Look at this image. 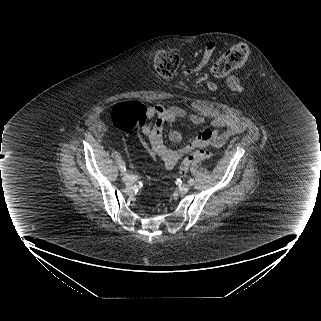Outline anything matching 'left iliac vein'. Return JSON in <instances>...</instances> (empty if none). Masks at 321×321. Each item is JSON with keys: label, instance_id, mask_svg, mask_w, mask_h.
<instances>
[{"label": "left iliac vein", "instance_id": "left-iliac-vein-1", "mask_svg": "<svg viewBox=\"0 0 321 321\" xmlns=\"http://www.w3.org/2000/svg\"><path fill=\"white\" fill-rule=\"evenodd\" d=\"M189 185L187 184H182L180 187H179V192L182 193V194H186L188 191H189Z\"/></svg>", "mask_w": 321, "mask_h": 321}]
</instances>
